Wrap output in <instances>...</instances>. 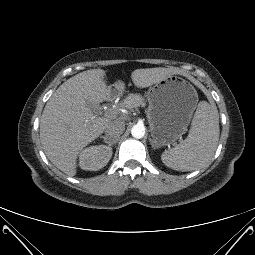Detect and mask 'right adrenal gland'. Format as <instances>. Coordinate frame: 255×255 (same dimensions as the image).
<instances>
[{"instance_id": "obj_1", "label": "right adrenal gland", "mask_w": 255, "mask_h": 255, "mask_svg": "<svg viewBox=\"0 0 255 255\" xmlns=\"http://www.w3.org/2000/svg\"><path fill=\"white\" fill-rule=\"evenodd\" d=\"M100 138L104 139V142L108 144V141L106 140V136H101ZM109 147H112V144H108Z\"/></svg>"}]
</instances>
